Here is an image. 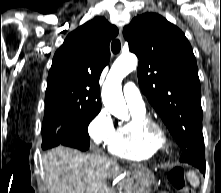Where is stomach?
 Instances as JSON below:
<instances>
[{
	"instance_id": "obj_1",
	"label": "stomach",
	"mask_w": 221,
	"mask_h": 193,
	"mask_svg": "<svg viewBox=\"0 0 221 193\" xmlns=\"http://www.w3.org/2000/svg\"><path fill=\"white\" fill-rule=\"evenodd\" d=\"M134 168L136 169L135 177H140L141 182H154V179H159V174H151V167H146L145 164H135ZM148 186L147 183L139 185L134 189L135 193L144 192L143 189Z\"/></svg>"
}]
</instances>
